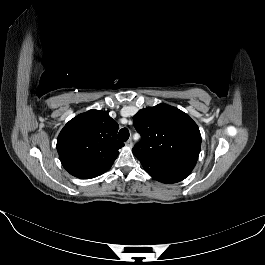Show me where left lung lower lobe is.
<instances>
[{"label":"left lung lower lobe","mask_w":265,"mask_h":265,"mask_svg":"<svg viewBox=\"0 0 265 265\" xmlns=\"http://www.w3.org/2000/svg\"><path fill=\"white\" fill-rule=\"evenodd\" d=\"M196 162L197 159L191 158L167 164L152 165L144 167V169L155 180L169 184L180 182L188 177Z\"/></svg>","instance_id":"left-lung-lower-lobe-1"}]
</instances>
